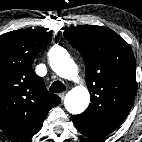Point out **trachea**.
<instances>
[{"label":"trachea","mask_w":142,"mask_h":142,"mask_svg":"<svg viewBox=\"0 0 142 142\" xmlns=\"http://www.w3.org/2000/svg\"><path fill=\"white\" fill-rule=\"evenodd\" d=\"M65 89V85L61 81H54L49 90L54 93H60L63 92Z\"/></svg>","instance_id":"trachea-1"}]
</instances>
